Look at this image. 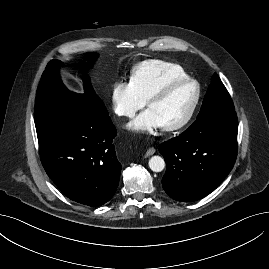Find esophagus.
I'll return each mask as SVG.
<instances>
[{"instance_id":"obj_1","label":"esophagus","mask_w":269,"mask_h":269,"mask_svg":"<svg viewBox=\"0 0 269 269\" xmlns=\"http://www.w3.org/2000/svg\"><path fill=\"white\" fill-rule=\"evenodd\" d=\"M155 153V149L152 147V148H149L147 151H146V154L145 156L148 157V156H151Z\"/></svg>"}]
</instances>
